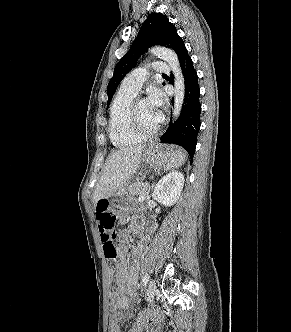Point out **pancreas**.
Returning a JSON list of instances; mask_svg holds the SVG:
<instances>
[{
  "instance_id": "1",
  "label": "pancreas",
  "mask_w": 291,
  "mask_h": 332,
  "mask_svg": "<svg viewBox=\"0 0 291 332\" xmlns=\"http://www.w3.org/2000/svg\"><path fill=\"white\" fill-rule=\"evenodd\" d=\"M128 192L132 196L146 197L150 192L149 183L137 182L128 187Z\"/></svg>"
}]
</instances>
